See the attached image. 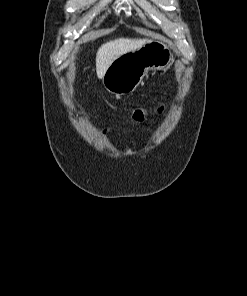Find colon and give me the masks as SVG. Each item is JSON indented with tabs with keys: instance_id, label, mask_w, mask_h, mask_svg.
<instances>
[{
	"instance_id": "colon-1",
	"label": "colon",
	"mask_w": 247,
	"mask_h": 296,
	"mask_svg": "<svg viewBox=\"0 0 247 296\" xmlns=\"http://www.w3.org/2000/svg\"><path fill=\"white\" fill-rule=\"evenodd\" d=\"M145 115H146V113L142 110H136L134 113V117L138 121H142L144 119Z\"/></svg>"
}]
</instances>
